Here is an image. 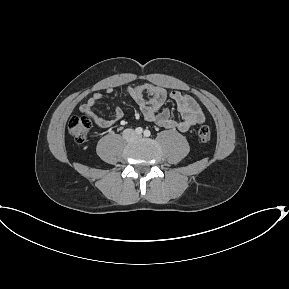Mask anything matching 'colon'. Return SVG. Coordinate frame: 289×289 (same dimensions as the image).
Here are the masks:
<instances>
[{"instance_id":"5ec220e1","label":"colon","mask_w":289,"mask_h":289,"mask_svg":"<svg viewBox=\"0 0 289 289\" xmlns=\"http://www.w3.org/2000/svg\"><path fill=\"white\" fill-rule=\"evenodd\" d=\"M91 126L92 120L90 116H74L69 120L68 131L76 142L82 143L87 139ZM197 135L200 141L208 142L211 139V130L207 125H202L198 129Z\"/></svg>"}]
</instances>
